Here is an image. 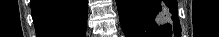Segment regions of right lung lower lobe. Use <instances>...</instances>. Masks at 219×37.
I'll use <instances>...</instances> for the list:
<instances>
[{"mask_svg":"<svg viewBox=\"0 0 219 37\" xmlns=\"http://www.w3.org/2000/svg\"><path fill=\"white\" fill-rule=\"evenodd\" d=\"M38 37H84L87 0H31Z\"/></svg>","mask_w":219,"mask_h":37,"instance_id":"obj_1","label":"right lung lower lobe"}]
</instances>
